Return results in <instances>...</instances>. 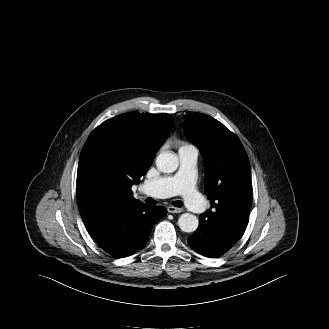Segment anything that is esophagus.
<instances>
[{
    "mask_svg": "<svg viewBox=\"0 0 329 329\" xmlns=\"http://www.w3.org/2000/svg\"><path fill=\"white\" fill-rule=\"evenodd\" d=\"M167 211L169 213H181L183 211L182 208L174 207V206H168Z\"/></svg>",
    "mask_w": 329,
    "mask_h": 329,
    "instance_id": "obj_1",
    "label": "esophagus"
}]
</instances>
